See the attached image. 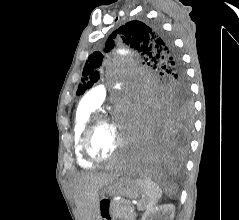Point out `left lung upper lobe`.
Listing matches in <instances>:
<instances>
[{"instance_id": "1", "label": "left lung upper lobe", "mask_w": 239, "mask_h": 220, "mask_svg": "<svg viewBox=\"0 0 239 220\" xmlns=\"http://www.w3.org/2000/svg\"><path fill=\"white\" fill-rule=\"evenodd\" d=\"M116 38L138 50L146 57V61H149L148 65L160 71L164 82L154 95V109L171 112L180 126L189 128L193 105L183 65L170 39L157 26H148L141 21H130L109 36L105 52L113 48ZM102 61L103 55L100 52H94L89 56L77 95L83 94L98 81L99 72L96 69L101 66Z\"/></svg>"}]
</instances>
